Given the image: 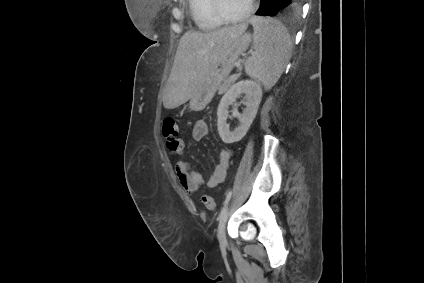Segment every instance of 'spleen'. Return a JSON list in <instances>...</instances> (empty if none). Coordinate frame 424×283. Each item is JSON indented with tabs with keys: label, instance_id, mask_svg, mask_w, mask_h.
Returning a JSON list of instances; mask_svg holds the SVG:
<instances>
[{
	"label": "spleen",
	"instance_id": "obj_1",
	"mask_svg": "<svg viewBox=\"0 0 424 283\" xmlns=\"http://www.w3.org/2000/svg\"><path fill=\"white\" fill-rule=\"evenodd\" d=\"M251 24L254 53L245 62V72L269 90L277 83L291 57L292 41L280 21L254 16Z\"/></svg>",
	"mask_w": 424,
	"mask_h": 283
}]
</instances>
